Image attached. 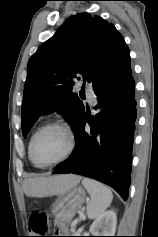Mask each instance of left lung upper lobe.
<instances>
[{
	"mask_svg": "<svg viewBox=\"0 0 158 237\" xmlns=\"http://www.w3.org/2000/svg\"><path fill=\"white\" fill-rule=\"evenodd\" d=\"M130 61V51L116 28L99 16L78 13L30 58L22 103V132L26 136L40 114H63L75 131L84 106L72 92L76 75L94 90ZM80 79V77H78Z\"/></svg>",
	"mask_w": 158,
	"mask_h": 237,
	"instance_id": "obj_1",
	"label": "left lung upper lobe"
}]
</instances>
